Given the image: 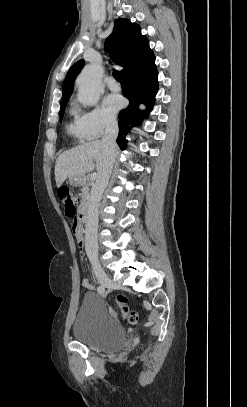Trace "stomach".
I'll return each mask as SVG.
<instances>
[{"label": "stomach", "instance_id": "0dacf381", "mask_svg": "<svg viewBox=\"0 0 247 407\" xmlns=\"http://www.w3.org/2000/svg\"><path fill=\"white\" fill-rule=\"evenodd\" d=\"M69 183L73 186H82L85 183L83 176H71L69 177Z\"/></svg>", "mask_w": 247, "mask_h": 407}]
</instances>
